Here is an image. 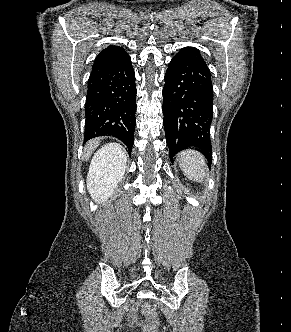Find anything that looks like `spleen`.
<instances>
[{"label": "spleen", "mask_w": 291, "mask_h": 332, "mask_svg": "<svg viewBox=\"0 0 291 332\" xmlns=\"http://www.w3.org/2000/svg\"><path fill=\"white\" fill-rule=\"evenodd\" d=\"M177 160L185 176L191 180L203 182L206 177L207 163L200 152L192 149L183 150L179 153Z\"/></svg>", "instance_id": "1"}]
</instances>
